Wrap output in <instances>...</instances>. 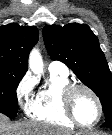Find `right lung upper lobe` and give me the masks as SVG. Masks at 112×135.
I'll list each match as a JSON object with an SVG mask.
<instances>
[{
  "mask_svg": "<svg viewBox=\"0 0 112 135\" xmlns=\"http://www.w3.org/2000/svg\"><path fill=\"white\" fill-rule=\"evenodd\" d=\"M36 27L8 24L0 27V74H25L28 55L37 43Z\"/></svg>",
  "mask_w": 112,
  "mask_h": 135,
  "instance_id": "cb5924a9",
  "label": "right lung upper lobe"
}]
</instances>
